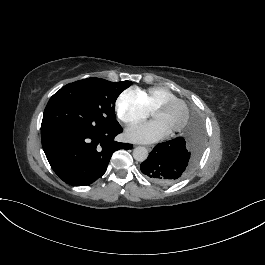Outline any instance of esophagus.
Instances as JSON below:
<instances>
[{
    "instance_id": "34e87169",
    "label": "esophagus",
    "mask_w": 265,
    "mask_h": 265,
    "mask_svg": "<svg viewBox=\"0 0 265 265\" xmlns=\"http://www.w3.org/2000/svg\"><path fill=\"white\" fill-rule=\"evenodd\" d=\"M153 148H154V145H148L147 146V149H148L149 152L152 151Z\"/></svg>"
}]
</instances>
